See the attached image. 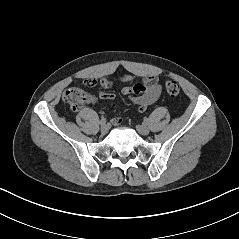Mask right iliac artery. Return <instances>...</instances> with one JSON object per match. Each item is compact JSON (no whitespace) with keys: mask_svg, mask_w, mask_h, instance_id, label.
<instances>
[{"mask_svg":"<svg viewBox=\"0 0 239 239\" xmlns=\"http://www.w3.org/2000/svg\"><path fill=\"white\" fill-rule=\"evenodd\" d=\"M106 118L105 117H102L101 120H100V124L103 125L106 123Z\"/></svg>","mask_w":239,"mask_h":239,"instance_id":"obj_1","label":"right iliac artery"}]
</instances>
